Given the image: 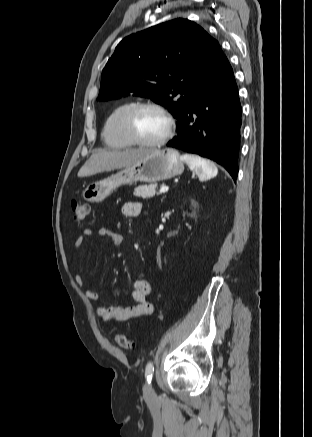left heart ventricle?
Segmentation results:
<instances>
[{"label": "left heart ventricle", "mask_w": 312, "mask_h": 437, "mask_svg": "<svg viewBox=\"0 0 312 437\" xmlns=\"http://www.w3.org/2000/svg\"><path fill=\"white\" fill-rule=\"evenodd\" d=\"M135 130L143 140H157L165 134L167 121L157 111L145 109L139 112L135 119Z\"/></svg>", "instance_id": "1"}]
</instances>
